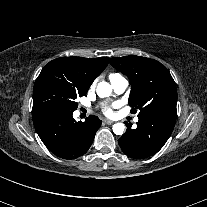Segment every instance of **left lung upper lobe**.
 Segmentation results:
<instances>
[{"label":"left lung upper lobe","instance_id":"left-lung-upper-lobe-1","mask_svg":"<svg viewBox=\"0 0 207 207\" xmlns=\"http://www.w3.org/2000/svg\"><path fill=\"white\" fill-rule=\"evenodd\" d=\"M111 65L128 76L132 85L129 104L138 117L176 118V84L160 62L136 55L110 59Z\"/></svg>","mask_w":207,"mask_h":207}]
</instances>
